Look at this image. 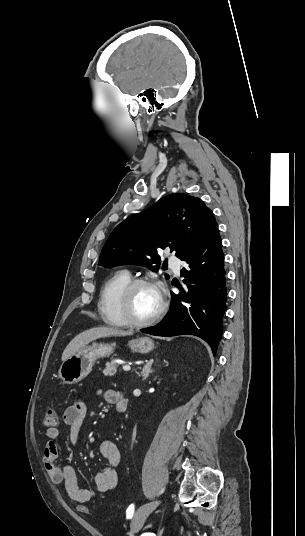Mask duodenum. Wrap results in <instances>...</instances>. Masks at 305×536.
<instances>
[{
    "label": "duodenum",
    "instance_id": "410a0bca",
    "mask_svg": "<svg viewBox=\"0 0 305 536\" xmlns=\"http://www.w3.org/2000/svg\"><path fill=\"white\" fill-rule=\"evenodd\" d=\"M113 402L118 405L119 411H124L126 406V401L122 395V393H116L114 396Z\"/></svg>",
    "mask_w": 305,
    "mask_h": 536
}]
</instances>
